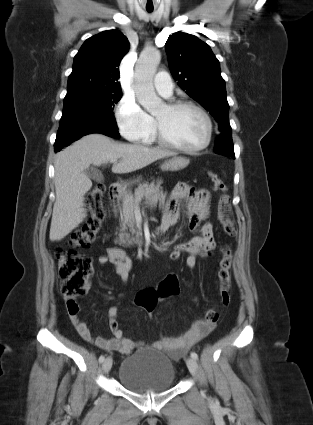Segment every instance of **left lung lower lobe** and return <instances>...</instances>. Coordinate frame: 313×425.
<instances>
[{
	"instance_id": "obj_1",
	"label": "left lung lower lobe",
	"mask_w": 313,
	"mask_h": 425,
	"mask_svg": "<svg viewBox=\"0 0 313 425\" xmlns=\"http://www.w3.org/2000/svg\"><path fill=\"white\" fill-rule=\"evenodd\" d=\"M231 140H232V137H231V134H230L229 132L221 133V134L219 135V137L216 139V145H215V148H216L217 146L223 145V144H225L226 142L231 141ZM232 157H234V156H232Z\"/></svg>"
}]
</instances>
